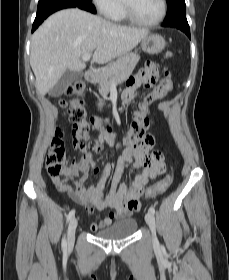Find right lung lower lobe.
<instances>
[{"mask_svg":"<svg viewBox=\"0 0 229 280\" xmlns=\"http://www.w3.org/2000/svg\"><path fill=\"white\" fill-rule=\"evenodd\" d=\"M80 8L96 13L91 0H39L36 18L32 26V32L52 13L65 8Z\"/></svg>","mask_w":229,"mask_h":280,"instance_id":"right-lung-lower-lobe-1","label":"right lung lower lobe"}]
</instances>
